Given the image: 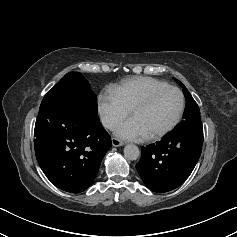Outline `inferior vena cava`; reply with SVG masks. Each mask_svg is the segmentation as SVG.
Instances as JSON below:
<instances>
[{
    "instance_id": "inferior-vena-cava-1",
    "label": "inferior vena cava",
    "mask_w": 237,
    "mask_h": 237,
    "mask_svg": "<svg viewBox=\"0 0 237 237\" xmlns=\"http://www.w3.org/2000/svg\"><path fill=\"white\" fill-rule=\"evenodd\" d=\"M101 122H102L103 126L108 129H113L117 125V122L114 119L109 118V117H102Z\"/></svg>"
}]
</instances>
